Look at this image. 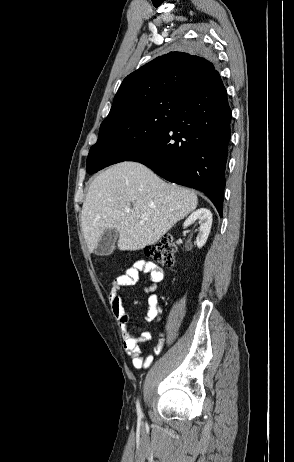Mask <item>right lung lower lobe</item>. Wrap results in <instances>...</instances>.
<instances>
[{
    "instance_id": "1",
    "label": "right lung lower lobe",
    "mask_w": 294,
    "mask_h": 462,
    "mask_svg": "<svg viewBox=\"0 0 294 462\" xmlns=\"http://www.w3.org/2000/svg\"><path fill=\"white\" fill-rule=\"evenodd\" d=\"M231 109L221 78L185 97L168 125L125 161L140 162L170 182L204 192L222 216ZM103 165L88 156L87 171Z\"/></svg>"
}]
</instances>
